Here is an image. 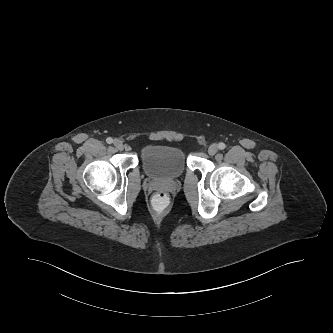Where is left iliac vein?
<instances>
[{
  "label": "left iliac vein",
  "instance_id": "1",
  "mask_svg": "<svg viewBox=\"0 0 333 333\" xmlns=\"http://www.w3.org/2000/svg\"><path fill=\"white\" fill-rule=\"evenodd\" d=\"M218 151V146L216 144H211L208 148V153L210 155H215Z\"/></svg>",
  "mask_w": 333,
  "mask_h": 333
}]
</instances>
